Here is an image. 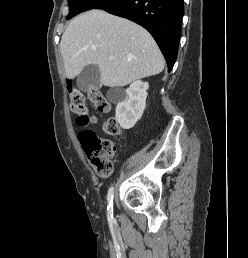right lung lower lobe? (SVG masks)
<instances>
[{
    "label": "right lung lower lobe",
    "instance_id": "right-lung-lower-lobe-1",
    "mask_svg": "<svg viewBox=\"0 0 248 258\" xmlns=\"http://www.w3.org/2000/svg\"><path fill=\"white\" fill-rule=\"evenodd\" d=\"M98 9L127 18L148 30L162 51L168 72L176 61L183 0H111Z\"/></svg>",
    "mask_w": 248,
    "mask_h": 258
}]
</instances>
